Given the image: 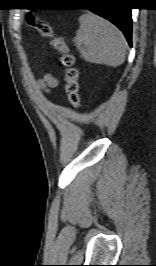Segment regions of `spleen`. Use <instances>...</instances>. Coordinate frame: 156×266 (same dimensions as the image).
Instances as JSON below:
<instances>
[{"mask_svg":"<svg viewBox=\"0 0 156 266\" xmlns=\"http://www.w3.org/2000/svg\"><path fill=\"white\" fill-rule=\"evenodd\" d=\"M79 23L73 42L85 61L110 67L124 62L126 40L117 27L91 13L82 15Z\"/></svg>","mask_w":156,"mask_h":266,"instance_id":"3e777b00","label":"spleen"}]
</instances>
